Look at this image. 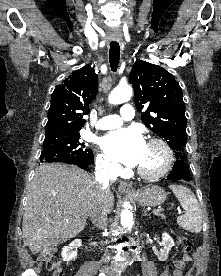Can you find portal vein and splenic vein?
I'll return each mask as SVG.
<instances>
[{"mask_svg":"<svg viewBox=\"0 0 221 276\" xmlns=\"http://www.w3.org/2000/svg\"><path fill=\"white\" fill-rule=\"evenodd\" d=\"M163 211V209H155V210H153V214H159L160 212H162ZM179 213H180V211H179Z\"/></svg>","mask_w":221,"mask_h":276,"instance_id":"1","label":"portal vein and splenic vein"}]
</instances>
